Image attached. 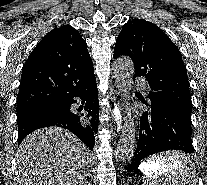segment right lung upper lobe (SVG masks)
Wrapping results in <instances>:
<instances>
[{
	"label": "right lung upper lobe",
	"instance_id": "right-lung-upper-lobe-1",
	"mask_svg": "<svg viewBox=\"0 0 207 185\" xmlns=\"http://www.w3.org/2000/svg\"><path fill=\"white\" fill-rule=\"evenodd\" d=\"M87 44L70 25L46 34L28 57L21 76L17 112L55 104L75 85L94 78Z\"/></svg>",
	"mask_w": 207,
	"mask_h": 185
}]
</instances>
